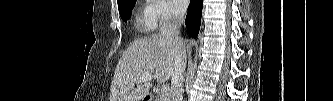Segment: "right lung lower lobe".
I'll return each mask as SVG.
<instances>
[{
	"mask_svg": "<svg viewBox=\"0 0 333 101\" xmlns=\"http://www.w3.org/2000/svg\"><path fill=\"white\" fill-rule=\"evenodd\" d=\"M203 0H191L188 14L185 20L188 32L197 37L199 33L201 15H202Z\"/></svg>",
	"mask_w": 333,
	"mask_h": 101,
	"instance_id": "1",
	"label": "right lung lower lobe"
}]
</instances>
